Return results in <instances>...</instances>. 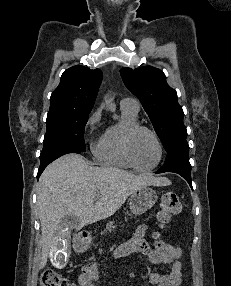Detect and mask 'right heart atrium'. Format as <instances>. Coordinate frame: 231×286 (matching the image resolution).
Masks as SVG:
<instances>
[{"label": "right heart atrium", "mask_w": 231, "mask_h": 286, "mask_svg": "<svg viewBox=\"0 0 231 286\" xmlns=\"http://www.w3.org/2000/svg\"><path fill=\"white\" fill-rule=\"evenodd\" d=\"M102 111L101 109H97L92 115L89 117L86 123L87 131L92 134L96 131L97 126L101 120Z\"/></svg>", "instance_id": "right-heart-atrium-1"}]
</instances>
